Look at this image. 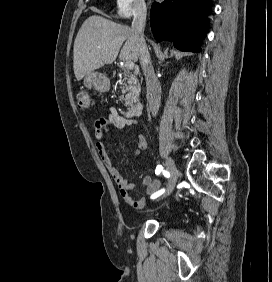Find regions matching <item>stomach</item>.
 Returning <instances> with one entry per match:
<instances>
[{"label":"stomach","instance_id":"obj_1","mask_svg":"<svg viewBox=\"0 0 272 282\" xmlns=\"http://www.w3.org/2000/svg\"><path fill=\"white\" fill-rule=\"evenodd\" d=\"M84 85L87 88L94 87L98 91H107L109 90L110 82L104 74L93 71L85 76Z\"/></svg>","mask_w":272,"mask_h":282}]
</instances>
